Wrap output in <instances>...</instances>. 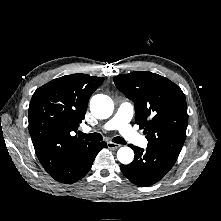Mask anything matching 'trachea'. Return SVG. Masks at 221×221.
<instances>
[{"label": "trachea", "mask_w": 221, "mask_h": 221, "mask_svg": "<svg viewBox=\"0 0 221 221\" xmlns=\"http://www.w3.org/2000/svg\"><path fill=\"white\" fill-rule=\"evenodd\" d=\"M79 136H80V138L87 139V140L93 141V142H99V141H102V139H103L102 135L99 133L84 134V133L80 132ZM112 141L115 143H118V144H126V141L119 136L114 137L112 139Z\"/></svg>", "instance_id": "1"}]
</instances>
